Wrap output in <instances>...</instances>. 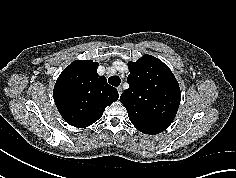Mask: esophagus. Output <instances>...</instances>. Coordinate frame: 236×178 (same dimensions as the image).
Instances as JSON below:
<instances>
[{"mask_svg": "<svg viewBox=\"0 0 236 178\" xmlns=\"http://www.w3.org/2000/svg\"><path fill=\"white\" fill-rule=\"evenodd\" d=\"M117 91H118V94L120 96L122 94V87L121 86L117 87Z\"/></svg>", "mask_w": 236, "mask_h": 178, "instance_id": "1", "label": "esophagus"}]
</instances>
